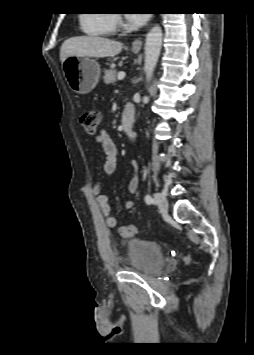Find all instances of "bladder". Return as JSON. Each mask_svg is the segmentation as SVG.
I'll return each instance as SVG.
<instances>
[{"instance_id":"bladder-1","label":"bladder","mask_w":254,"mask_h":355,"mask_svg":"<svg viewBox=\"0 0 254 355\" xmlns=\"http://www.w3.org/2000/svg\"><path fill=\"white\" fill-rule=\"evenodd\" d=\"M128 270L147 276L157 275L165 263L162 248L155 242L131 239L127 250Z\"/></svg>"}]
</instances>
